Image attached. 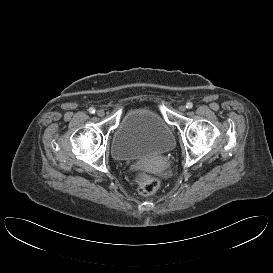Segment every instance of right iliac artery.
Instances as JSON below:
<instances>
[{
    "mask_svg": "<svg viewBox=\"0 0 273 273\" xmlns=\"http://www.w3.org/2000/svg\"><path fill=\"white\" fill-rule=\"evenodd\" d=\"M95 111H96V110H95L93 107L89 108V112H90V113L94 114Z\"/></svg>",
    "mask_w": 273,
    "mask_h": 273,
    "instance_id": "1",
    "label": "right iliac artery"
}]
</instances>
